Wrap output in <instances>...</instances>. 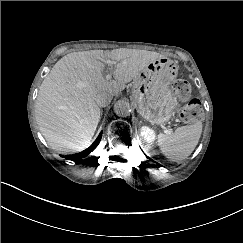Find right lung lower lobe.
<instances>
[{
	"label": "right lung lower lobe",
	"mask_w": 243,
	"mask_h": 243,
	"mask_svg": "<svg viewBox=\"0 0 243 243\" xmlns=\"http://www.w3.org/2000/svg\"><path fill=\"white\" fill-rule=\"evenodd\" d=\"M101 137H102V133H100V135L97 137L95 142L86 150H84L80 153L72 154V155H67V156L62 155V157H65L66 159L72 160L75 162H85L86 160L91 159L90 157L85 159V157H87L97 147V145L99 144V142L101 140Z\"/></svg>",
	"instance_id": "1"
}]
</instances>
